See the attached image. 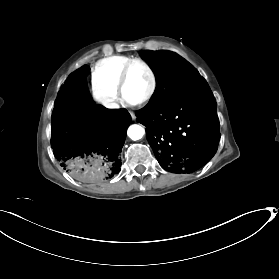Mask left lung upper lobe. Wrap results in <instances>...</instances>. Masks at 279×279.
<instances>
[{"instance_id":"obj_1","label":"left lung upper lobe","mask_w":279,"mask_h":279,"mask_svg":"<svg viewBox=\"0 0 279 279\" xmlns=\"http://www.w3.org/2000/svg\"><path fill=\"white\" fill-rule=\"evenodd\" d=\"M156 76V89L142 109L154 110L185 94L191 87L204 82L198 71L186 60L169 51H141Z\"/></svg>"}]
</instances>
